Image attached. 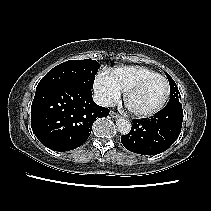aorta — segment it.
Segmentation results:
<instances>
[{
    "mask_svg": "<svg viewBox=\"0 0 211 211\" xmlns=\"http://www.w3.org/2000/svg\"><path fill=\"white\" fill-rule=\"evenodd\" d=\"M116 126H117L118 131L123 135L128 134L131 130V123L129 120L125 118H119L116 121Z\"/></svg>",
    "mask_w": 211,
    "mask_h": 211,
    "instance_id": "1",
    "label": "aorta"
}]
</instances>
